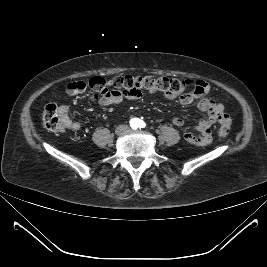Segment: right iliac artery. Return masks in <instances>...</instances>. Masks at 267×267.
Here are the masks:
<instances>
[{"instance_id": "obj_1", "label": "right iliac artery", "mask_w": 267, "mask_h": 267, "mask_svg": "<svg viewBox=\"0 0 267 267\" xmlns=\"http://www.w3.org/2000/svg\"><path fill=\"white\" fill-rule=\"evenodd\" d=\"M131 127H132L133 129H136V128H137V125L134 123V124H131Z\"/></svg>"}]
</instances>
